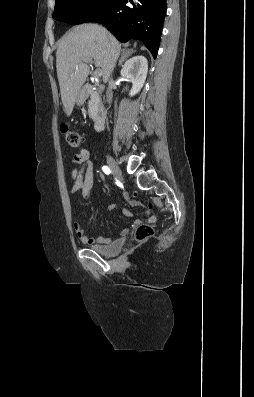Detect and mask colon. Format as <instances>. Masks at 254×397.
<instances>
[{"mask_svg":"<svg viewBox=\"0 0 254 397\" xmlns=\"http://www.w3.org/2000/svg\"><path fill=\"white\" fill-rule=\"evenodd\" d=\"M61 132L66 140V142L73 148H78L81 145V136L69 128L67 125H61ZM153 235V228L150 225H140L135 232V240L138 242H143L149 239Z\"/></svg>","mask_w":254,"mask_h":397,"instance_id":"5ec220e1","label":"colon"}]
</instances>
